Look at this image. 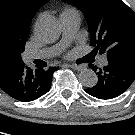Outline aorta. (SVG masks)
I'll return each instance as SVG.
<instances>
[{"instance_id": "1", "label": "aorta", "mask_w": 135, "mask_h": 135, "mask_svg": "<svg viewBox=\"0 0 135 135\" xmlns=\"http://www.w3.org/2000/svg\"><path fill=\"white\" fill-rule=\"evenodd\" d=\"M36 36L44 42H54L61 34L59 22L51 17L39 18L34 26ZM79 81L85 87H93L98 82V77L92 69H84L79 74Z\"/></svg>"}]
</instances>
